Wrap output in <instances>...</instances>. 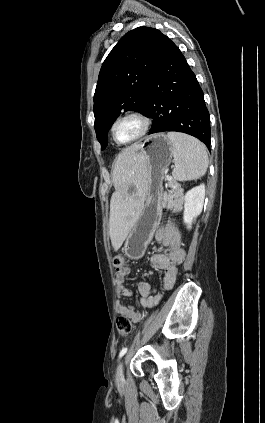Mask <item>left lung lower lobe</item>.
Here are the masks:
<instances>
[{
	"mask_svg": "<svg viewBox=\"0 0 265 423\" xmlns=\"http://www.w3.org/2000/svg\"><path fill=\"white\" fill-rule=\"evenodd\" d=\"M142 114L153 119L149 134L184 132L210 150V119L203 91L185 57L167 36L147 86Z\"/></svg>",
	"mask_w": 265,
	"mask_h": 423,
	"instance_id": "obj_1",
	"label": "left lung lower lobe"
}]
</instances>
